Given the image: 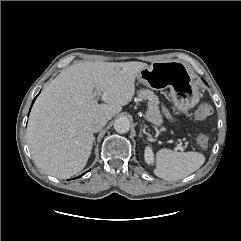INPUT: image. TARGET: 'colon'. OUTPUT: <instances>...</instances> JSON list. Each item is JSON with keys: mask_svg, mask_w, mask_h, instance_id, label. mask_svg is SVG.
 <instances>
[{"mask_svg": "<svg viewBox=\"0 0 241 241\" xmlns=\"http://www.w3.org/2000/svg\"><path fill=\"white\" fill-rule=\"evenodd\" d=\"M211 114H212V107L208 104H202L195 111L194 117L197 120H204V119H207ZM196 142L200 148L205 149L208 145V138L205 135H200L198 136Z\"/></svg>", "mask_w": 241, "mask_h": 241, "instance_id": "colon-1", "label": "colon"}]
</instances>
